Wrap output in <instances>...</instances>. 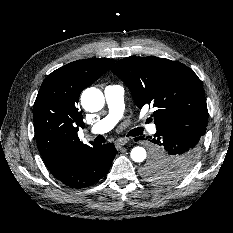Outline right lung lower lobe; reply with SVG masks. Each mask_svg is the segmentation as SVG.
Returning a JSON list of instances; mask_svg holds the SVG:
<instances>
[{"mask_svg":"<svg viewBox=\"0 0 233 233\" xmlns=\"http://www.w3.org/2000/svg\"><path fill=\"white\" fill-rule=\"evenodd\" d=\"M116 152L111 143L85 145L49 170L64 185L80 189L94 184L108 172Z\"/></svg>","mask_w":233,"mask_h":233,"instance_id":"right-lung-lower-lobe-1","label":"right lung lower lobe"}]
</instances>
